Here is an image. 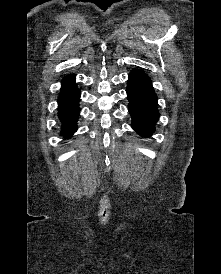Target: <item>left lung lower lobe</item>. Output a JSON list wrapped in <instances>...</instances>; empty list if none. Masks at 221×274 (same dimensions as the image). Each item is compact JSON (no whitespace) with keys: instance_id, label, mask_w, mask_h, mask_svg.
Returning a JSON list of instances; mask_svg holds the SVG:
<instances>
[{"instance_id":"1","label":"left lung lower lobe","mask_w":221,"mask_h":274,"mask_svg":"<svg viewBox=\"0 0 221 274\" xmlns=\"http://www.w3.org/2000/svg\"><path fill=\"white\" fill-rule=\"evenodd\" d=\"M128 110L132 117V128L142 137H149L155 131L159 112L157 95L150 78L139 69L132 70L128 76Z\"/></svg>"}]
</instances>
